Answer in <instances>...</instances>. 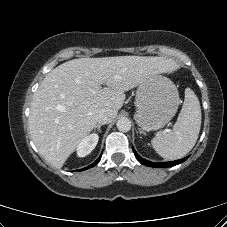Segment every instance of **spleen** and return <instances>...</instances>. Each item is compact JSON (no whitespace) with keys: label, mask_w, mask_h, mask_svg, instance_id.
Returning <instances> with one entry per match:
<instances>
[{"label":"spleen","mask_w":227,"mask_h":227,"mask_svg":"<svg viewBox=\"0 0 227 227\" xmlns=\"http://www.w3.org/2000/svg\"><path fill=\"white\" fill-rule=\"evenodd\" d=\"M201 127V108L195 93L185 89V99L172 130L151 140L155 151L164 159L184 157L195 145Z\"/></svg>","instance_id":"obj_1"}]
</instances>
